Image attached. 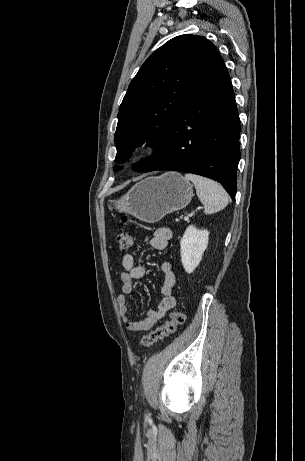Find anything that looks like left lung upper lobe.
<instances>
[{
  "instance_id": "obj_1",
  "label": "left lung upper lobe",
  "mask_w": 305,
  "mask_h": 461,
  "mask_svg": "<svg viewBox=\"0 0 305 461\" xmlns=\"http://www.w3.org/2000/svg\"><path fill=\"white\" fill-rule=\"evenodd\" d=\"M219 56L208 39L197 35L177 36L151 54L119 108L116 161H125L135 147L146 143L155 149L154 155L136 169L151 168L160 157L171 121Z\"/></svg>"
}]
</instances>
